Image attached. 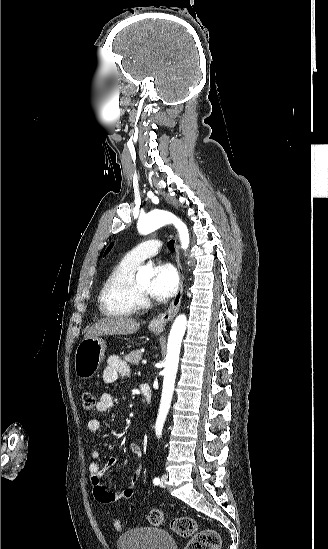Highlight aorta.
<instances>
[{
    "label": "aorta",
    "mask_w": 328,
    "mask_h": 549,
    "mask_svg": "<svg viewBox=\"0 0 328 549\" xmlns=\"http://www.w3.org/2000/svg\"><path fill=\"white\" fill-rule=\"evenodd\" d=\"M166 224H173L178 230L181 245L183 249H187L189 245V232L186 225L177 218L174 214L164 210H154L148 214L141 216L137 223L138 231L147 235ZM153 276V271L149 267H143L136 275L139 281L149 282ZM187 318L184 314L176 317L167 344V355L165 368L163 370V389L159 407V412L156 420L155 430L158 437L161 436L162 429L169 412L171 400L174 392V385L179 364V356L182 339L186 330Z\"/></svg>",
    "instance_id": "obj_1"
}]
</instances>
